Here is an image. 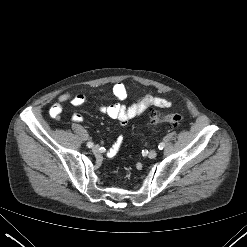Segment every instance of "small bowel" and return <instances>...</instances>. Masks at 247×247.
I'll use <instances>...</instances> for the list:
<instances>
[{"label":"small bowel","mask_w":247,"mask_h":247,"mask_svg":"<svg viewBox=\"0 0 247 247\" xmlns=\"http://www.w3.org/2000/svg\"><path fill=\"white\" fill-rule=\"evenodd\" d=\"M112 93L117 102L111 105L101 106L98 108V111L111 119L119 121L121 125H126L129 120L140 116L147 108L151 106L162 109L169 108L171 106L170 100L151 94L143 95L134 103L127 106L123 104V101L127 97V89L126 86L121 82H118L113 86ZM66 102H70L75 106H83L87 104V98L80 93L61 94L58 97L57 102L50 108V114L52 116L59 115L63 110L64 103ZM72 120L75 122H81L83 120V116L79 113H74L72 115ZM122 140V136L117 137L111 148L107 151V157L112 158L117 154L122 144Z\"/></svg>","instance_id":"c3829d8e"}]
</instances>
